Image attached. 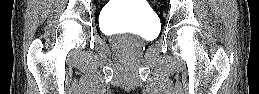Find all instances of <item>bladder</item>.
Segmentation results:
<instances>
[{
	"label": "bladder",
	"mask_w": 259,
	"mask_h": 94,
	"mask_svg": "<svg viewBox=\"0 0 259 94\" xmlns=\"http://www.w3.org/2000/svg\"><path fill=\"white\" fill-rule=\"evenodd\" d=\"M132 25L139 30H146L151 25V20L146 14H138L131 20Z\"/></svg>",
	"instance_id": "1"
}]
</instances>
